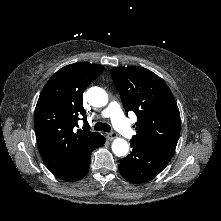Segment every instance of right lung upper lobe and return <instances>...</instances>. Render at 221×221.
<instances>
[{"label":"right lung upper lobe","instance_id":"cb5924a9","mask_svg":"<svg viewBox=\"0 0 221 221\" xmlns=\"http://www.w3.org/2000/svg\"><path fill=\"white\" fill-rule=\"evenodd\" d=\"M104 70L103 66L78 62L58 70L43 88L34 114L37 143L51 171L86 151L99 133L91 132L82 94ZM82 117L84 125L78 127Z\"/></svg>","mask_w":221,"mask_h":221}]
</instances>
